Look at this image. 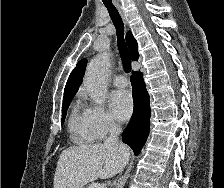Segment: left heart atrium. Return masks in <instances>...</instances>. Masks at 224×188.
<instances>
[{"instance_id": "obj_1", "label": "left heart atrium", "mask_w": 224, "mask_h": 188, "mask_svg": "<svg viewBox=\"0 0 224 188\" xmlns=\"http://www.w3.org/2000/svg\"><path fill=\"white\" fill-rule=\"evenodd\" d=\"M112 113L121 121H127L133 111V100L126 90L114 91L110 96Z\"/></svg>"}]
</instances>
